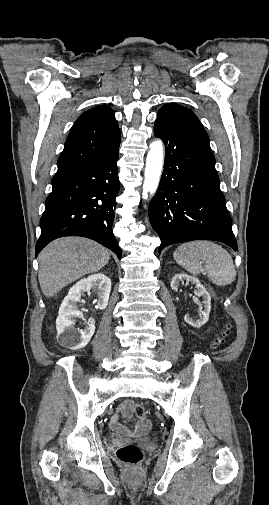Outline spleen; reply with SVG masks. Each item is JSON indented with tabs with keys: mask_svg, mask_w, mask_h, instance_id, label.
Wrapping results in <instances>:
<instances>
[{
	"mask_svg": "<svg viewBox=\"0 0 269 505\" xmlns=\"http://www.w3.org/2000/svg\"><path fill=\"white\" fill-rule=\"evenodd\" d=\"M173 257L189 273L207 274L218 286L231 284L236 278L235 266L229 252L211 241L183 243L175 249ZM200 261L205 265L202 266Z\"/></svg>",
	"mask_w": 269,
	"mask_h": 505,
	"instance_id": "spleen-1",
	"label": "spleen"
}]
</instances>
